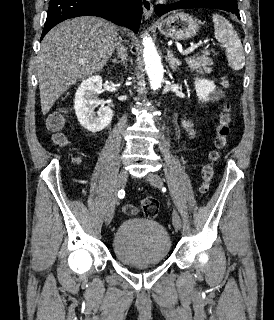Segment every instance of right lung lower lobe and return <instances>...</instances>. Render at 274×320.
Returning a JSON list of instances; mask_svg holds the SVG:
<instances>
[{
  "label": "right lung lower lobe",
  "mask_w": 274,
  "mask_h": 320,
  "mask_svg": "<svg viewBox=\"0 0 274 320\" xmlns=\"http://www.w3.org/2000/svg\"><path fill=\"white\" fill-rule=\"evenodd\" d=\"M141 0H50L41 39L58 23L77 16H98L138 32Z\"/></svg>",
  "instance_id": "98d812e1"
}]
</instances>
